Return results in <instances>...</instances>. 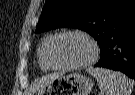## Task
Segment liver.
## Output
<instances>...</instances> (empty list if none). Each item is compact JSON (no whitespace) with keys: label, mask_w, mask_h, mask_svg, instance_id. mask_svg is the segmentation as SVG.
I'll list each match as a JSON object with an SVG mask.
<instances>
[{"label":"liver","mask_w":135,"mask_h":95,"mask_svg":"<svg viewBox=\"0 0 135 95\" xmlns=\"http://www.w3.org/2000/svg\"><path fill=\"white\" fill-rule=\"evenodd\" d=\"M59 77L57 74H50L45 76L44 78L40 79L37 83H35L32 87V92L38 91L40 88L44 87L47 85L51 80Z\"/></svg>","instance_id":"obj_1"}]
</instances>
